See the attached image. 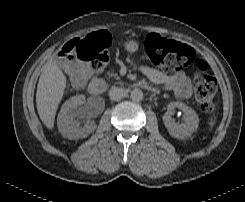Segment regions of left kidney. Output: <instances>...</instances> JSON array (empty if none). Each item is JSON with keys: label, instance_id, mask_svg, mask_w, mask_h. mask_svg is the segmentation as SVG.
Segmentation results:
<instances>
[{"label": "left kidney", "instance_id": "obj_1", "mask_svg": "<svg viewBox=\"0 0 245 202\" xmlns=\"http://www.w3.org/2000/svg\"><path fill=\"white\" fill-rule=\"evenodd\" d=\"M182 110L184 113V123H175L171 116L174 110ZM164 125L168 130V133L178 139H184L190 137L193 132L198 128L199 117L197 113L182 102H171L167 106V112L163 116Z\"/></svg>", "mask_w": 245, "mask_h": 202}]
</instances>
